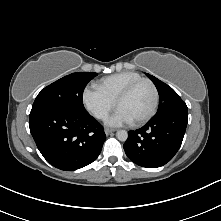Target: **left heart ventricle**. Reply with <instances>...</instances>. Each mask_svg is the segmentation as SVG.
I'll return each mask as SVG.
<instances>
[{
	"mask_svg": "<svg viewBox=\"0 0 221 221\" xmlns=\"http://www.w3.org/2000/svg\"><path fill=\"white\" fill-rule=\"evenodd\" d=\"M154 101V92L150 84H140L125 100L121 109L130 118L131 122L144 117L151 110Z\"/></svg>",
	"mask_w": 221,
	"mask_h": 221,
	"instance_id": "obj_1",
	"label": "left heart ventricle"
}]
</instances>
